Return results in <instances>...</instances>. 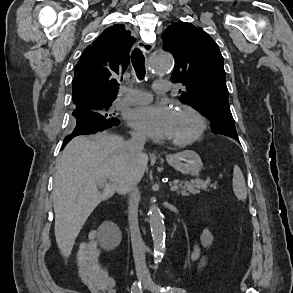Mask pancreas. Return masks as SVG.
Here are the masks:
<instances>
[{
    "mask_svg": "<svg viewBox=\"0 0 293 293\" xmlns=\"http://www.w3.org/2000/svg\"><path fill=\"white\" fill-rule=\"evenodd\" d=\"M172 184L177 185L180 190L177 191L178 194L182 196H189L190 194H199L201 190L209 191L208 186L212 188H216L215 184H210V179L202 180L200 178H196L193 180H185L181 181H174Z\"/></svg>",
    "mask_w": 293,
    "mask_h": 293,
    "instance_id": "obj_1",
    "label": "pancreas"
}]
</instances>
